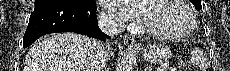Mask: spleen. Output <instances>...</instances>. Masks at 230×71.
<instances>
[{
    "label": "spleen",
    "mask_w": 230,
    "mask_h": 71,
    "mask_svg": "<svg viewBox=\"0 0 230 71\" xmlns=\"http://www.w3.org/2000/svg\"><path fill=\"white\" fill-rule=\"evenodd\" d=\"M190 61L191 63H193V65H196L197 67H199L200 69H203L204 71H205L206 66L208 65L203 54L198 49H194L191 52Z\"/></svg>",
    "instance_id": "1"
}]
</instances>
